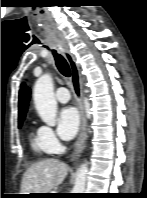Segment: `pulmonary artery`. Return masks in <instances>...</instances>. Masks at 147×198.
I'll use <instances>...</instances> for the list:
<instances>
[{"label":"pulmonary artery","instance_id":"e3ab8cb5","mask_svg":"<svg viewBox=\"0 0 147 198\" xmlns=\"http://www.w3.org/2000/svg\"><path fill=\"white\" fill-rule=\"evenodd\" d=\"M55 97L60 103H67L70 100V93L67 88L59 87L56 90Z\"/></svg>","mask_w":147,"mask_h":198}]
</instances>
